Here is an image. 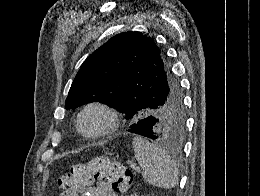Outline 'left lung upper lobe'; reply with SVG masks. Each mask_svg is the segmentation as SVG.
I'll return each instance as SVG.
<instances>
[{
	"label": "left lung upper lobe",
	"mask_w": 260,
	"mask_h": 196,
	"mask_svg": "<svg viewBox=\"0 0 260 196\" xmlns=\"http://www.w3.org/2000/svg\"><path fill=\"white\" fill-rule=\"evenodd\" d=\"M95 101L125 113L132 123L151 118L155 139L174 148L183 144L186 116L180 87L166 53L152 38L120 33L84 61L66 109Z\"/></svg>",
	"instance_id": "1"
}]
</instances>
